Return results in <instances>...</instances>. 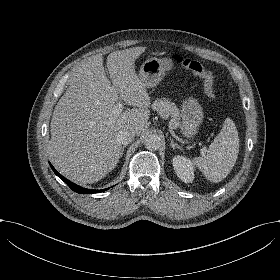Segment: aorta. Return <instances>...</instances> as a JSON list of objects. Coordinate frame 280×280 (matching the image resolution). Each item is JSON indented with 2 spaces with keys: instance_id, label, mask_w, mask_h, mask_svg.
Here are the masks:
<instances>
[{
  "instance_id": "obj_1",
  "label": "aorta",
  "mask_w": 280,
  "mask_h": 280,
  "mask_svg": "<svg viewBox=\"0 0 280 280\" xmlns=\"http://www.w3.org/2000/svg\"><path fill=\"white\" fill-rule=\"evenodd\" d=\"M144 145L148 150L155 151L162 146V140L157 134H149L144 137Z\"/></svg>"
}]
</instances>
